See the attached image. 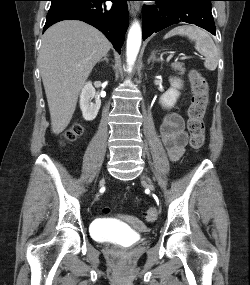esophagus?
Returning a JSON list of instances; mask_svg holds the SVG:
<instances>
[{"instance_id": "34e87169", "label": "esophagus", "mask_w": 250, "mask_h": 285, "mask_svg": "<svg viewBox=\"0 0 250 285\" xmlns=\"http://www.w3.org/2000/svg\"><path fill=\"white\" fill-rule=\"evenodd\" d=\"M128 10L131 16H135L139 10V7L133 3H129Z\"/></svg>"}]
</instances>
